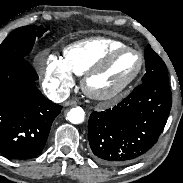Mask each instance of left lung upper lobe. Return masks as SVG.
I'll use <instances>...</instances> for the list:
<instances>
[{
	"instance_id": "5c2ea615",
	"label": "left lung upper lobe",
	"mask_w": 183,
	"mask_h": 183,
	"mask_svg": "<svg viewBox=\"0 0 183 183\" xmlns=\"http://www.w3.org/2000/svg\"><path fill=\"white\" fill-rule=\"evenodd\" d=\"M146 73L142 78L144 82L168 83L167 68L163 60L152 50L150 45L145 50Z\"/></svg>"
}]
</instances>
